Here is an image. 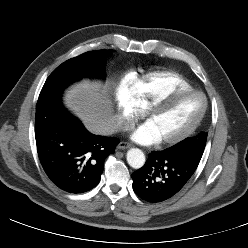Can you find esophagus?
I'll list each match as a JSON object with an SVG mask.
<instances>
[{"label":"esophagus","instance_id":"obj_1","mask_svg":"<svg viewBox=\"0 0 248 248\" xmlns=\"http://www.w3.org/2000/svg\"><path fill=\"white\" fill-rule=\"evenodd\" d=\"M131 144L130 143H127V142H124V141H121L117 148L118 149H127V148H130Z\"/></svg>","mask_w":248,"mask_h":248}]
</instances>
